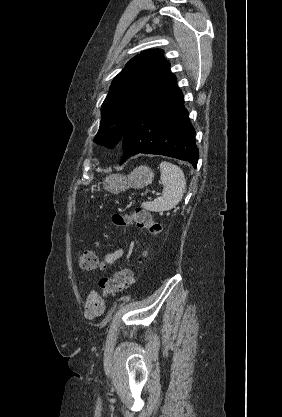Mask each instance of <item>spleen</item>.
Returning a JSON list of instances; mask_svg holds the SVG:
<instances>
[{
  "instance_id": "3e777b00",
  "label": "spleen",
  "mask_w": 282,
  "mask_h": 417,
  "mask_svg": "<svg viewBox=\"0 0 282 417\" xmlns=\"http://www.w3.org/2000/svg\"><path fill=\"white\" fill-rule=\"evenodd\" d=\"M161 184H163L162 196H157L155 200L142 202L143 209L146 211H171L180 202L186 188L184 172L177 164L163 160L160 164Z\"/></svg>"
}]
</instances>
